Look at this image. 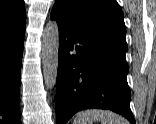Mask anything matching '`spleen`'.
<instances>
[{"mask_svg":"<svg viewBox=\"0 0 156 124\" xmlns=\"http://www.w3.org/2000/svg\"><path fill=\"white\" fill-rule=\"evenodd\" d=\"M100 121L101 124H128L121 116L111 111L89 109L77 113L73 124H93Z\"/></svg>","mask_w":156,"mask_h":124,"instance_id":"3e777b00","label":"spleen"}]
</instances>
